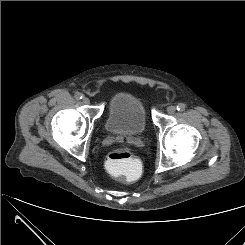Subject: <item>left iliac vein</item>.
Returning a JSON list of instances; mask_svg holds the SVG:
<instances>
[{"mask_svg": "<svg viewBox=\"0 0 245 245\" xmlns=\"http://www.w3.org/2000/svg\"><path fill=\"white\" fill-rule=\"evenodd\" d=\"M176 112V107L175 106H169L167 108V113L170 115H173Z\"/></svg>", "mask_w": 245, "mask_h": 245, "instance_id": "obj_1", "label": "left iliac vein"}]
</instances>
